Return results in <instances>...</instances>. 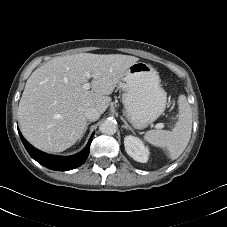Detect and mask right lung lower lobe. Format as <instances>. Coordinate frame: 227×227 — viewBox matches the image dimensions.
Wrapping results in <instances>:
<instances>
[{"label":"right lung lower lobe","mask_w":227,"mask_h":227,"mask_svg":"<svg viewBox=\"0 0 227 227\" xmlns=\"http://www.w3.org/2000/svg\"><path fill=\"white\" fill-rule=\"evenodd\" d=\"M19 135L22 140V143L24 144L30 156L34 160H36L39 164L51 170L66 171V170H72L74 168H77L86 161L89 155L90 144L92 142L94 133L89 139L87 146L80 153L73 156H68V157L50 155V154L44 153L34 148L31 144H29L28 141L21 135L20 131H19Z\"/></svg>","instance_id":"obj_1"}]
</instances>
